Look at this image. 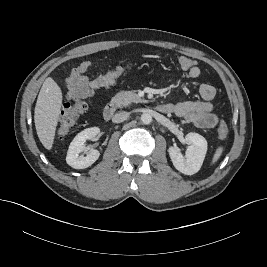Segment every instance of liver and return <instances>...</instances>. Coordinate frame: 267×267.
I'll return each mask as SVG.
<instances>
[{"label": "liver", "mask_w": 267, "mask_h": 267, "mask_svg": "<svg viewBox=\"0 0 267 267\" xmlns=\"http://www.w3.org/2000/svg\"><path fill=\"white\" fill-rule=\"evenodd\" d=\"M62 99L60 87L48 77L41 87L34 112L37 135L47 150H51L53 146Z\"/></svg>", "instance_id": "6515ba94"}]
</instances>
